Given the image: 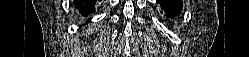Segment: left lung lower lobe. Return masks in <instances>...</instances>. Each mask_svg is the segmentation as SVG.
<instances>
[{"label": "left lung lower lobe", "mask_w": 249, "mask_h": 57, "mask_svg": "<svg viewBox=\"0 0 249 57\" xmlns=\"http://www.w3.org/2000/svg\"><path fill=\"white\" fill-rule=\"evenodd\" d=\"M161 7L168 14L166 17L174 18L182 9V2L179 0H157Z\"/></svg>", "instance_id": "0a47b994"}]
</instances>
